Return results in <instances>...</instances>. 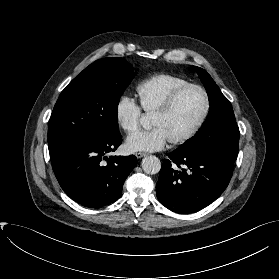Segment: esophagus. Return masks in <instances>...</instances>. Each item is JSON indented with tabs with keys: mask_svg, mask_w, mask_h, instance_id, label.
Returning <instances> with one entry per match:
<instances>
[{
	"mask_svg": "<svg viewBox=\"0 0 279 279\" xmlns=\"http://www.w3.org/2000/svg\"><path fill=\"white\" fill-rule=\"evenodd\" d=\"M135 155H136L137 158H142V157L147 156V153H145V152H137Z\"/></svg>",
	"mask_w": 279,
	"mask_h": 279,
	"instance_id": "obj_1",
	"label": "esophagus"
}]
</instances>
